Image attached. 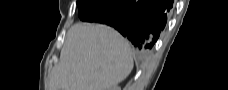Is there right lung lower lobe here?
Masks as SVG:
<instances>
[{"label":"right lung lower lobe","instance_id":"1","mask_svg":"<svg viewBox=\"0 0 228 90\" xmlns=\"http://www.w3.org/2000/svg\"><path fill=\"white\" fill-rule=\"evenodd\" d=\"M96 3L88 5L80 19L115 28L145 57L166 25L173 0H97Z\"/></svg>","mask_w":228,"mask_h":90}]
</instances>
